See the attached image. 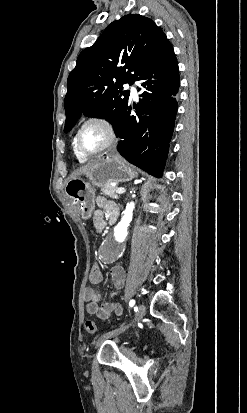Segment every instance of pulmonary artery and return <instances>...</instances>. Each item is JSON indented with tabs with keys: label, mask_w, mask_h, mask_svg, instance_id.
Returning a JSON list of instances; mask_svg holds the SVG:
<instances>
[{
	"label": "pulmonary artery",
	"mask_w": 247,
	"mask_h": 413,
	"mask_svg": "<svg viewBox=\"0 0 247 413\" xmlns=\"http://www.w3.org/2000/svg\"><path fill=\"white\" fill-rule=\"evenodd\" d=\"M124 88H125V89H129V90L131 91V94H132L133 98L136 99V98L138 97L137 89H136V84H135V83L126 82V83L124 84Z\"/></svg>",
	"instance_id": "1"
}]
</instances>
